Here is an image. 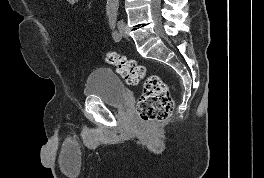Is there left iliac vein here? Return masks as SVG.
Masks as SVG:
<instances>
[{"label":"left iliac vein","instance_id":"1","mask_svg":"<svg viewBox=\"0 0 264 178\" xmlns=\"http://www.w3.org/2000/svg\"><path fill=\"white\" fill-rule=\"evenodd\" d=\"M120 37H126V28L123 20H119L117 23Z\"/></svg>","mask_w":264,"mask_h":178}]
</instances>
